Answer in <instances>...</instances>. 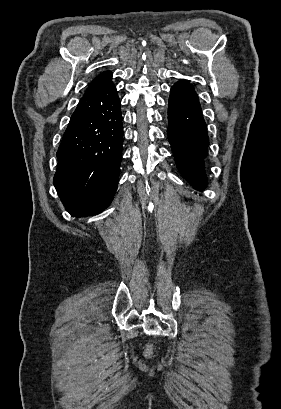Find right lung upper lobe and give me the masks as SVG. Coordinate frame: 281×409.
<instances>
[{"label":"right lung upper lobe","mask_w":281,"mask_h":409,"mask_svg":"<svg viewBox=\"0 0 281 409\" xmlns=\"http://www.w3.org/2000/svg\"><path fill=\"white\" fill-rule=\"evenodd\" d=\"M108 71L103 72L102 74H100L98 77L95 78V80H97L98 78H100L102 75L106 74Z\"/></svg>","instance_id":"cb5924a9"}]
</instances>
